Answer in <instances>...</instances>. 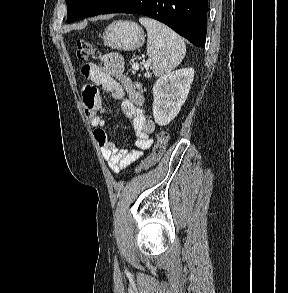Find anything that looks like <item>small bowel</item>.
Listing matches in <instances>:
<instances>
[{
	"mask_svg": "<svg viewBox=\"0 0 288 293\" xmlns=\"http://www.w3.org/2000/svg\"><path fill=\"white\" fill-rule=\"evenodd\" d=\"M100 66L85 64L82 74L91 81L84 87L82 100L87 121L94 127V137L100 146L102 155L109 168L117 173L136 161L143 151L153 143L150 135L155 130V123L145 113L144 92L140 83L133 82L123 74L124 62L117 54L105 55ZM97 87L109 92L119 102L124 116L131 120L136 140L132 150L118 148L108 137L102 114L107 112L102 104Z\"/></svg>",
	"mask_w": 288,
	"mask_h": 293,
	"instance_id": "small-bowel-1",
	"label": "small bowel"
}]
</instances>
